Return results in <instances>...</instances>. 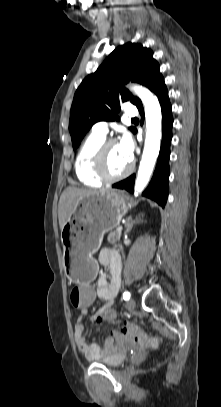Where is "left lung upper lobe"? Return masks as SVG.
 <instances>
[{
  "instance_id": "5c2ea615",
  "label": "left lung upper lobe",
  "mask_w": 221,
  "mask_h": 407,
  "mask_svg": "<svg viewBox=\"0 0 221 407\" xmlns=\"http://www.w3.org/2000/svg\"><path fill=\"white\" fill-rule=\"evenodd\" d=\"M162 78L152 50L135 43L117 47L95 73L82 81L75 93L69 124L73 148L79 146L96 122L119 120L116 113L122 102L130 101L137 108L142 106L141 101L124 88L126 83L137 82L153 91Z\"/></svg>"
}]
</instances>
